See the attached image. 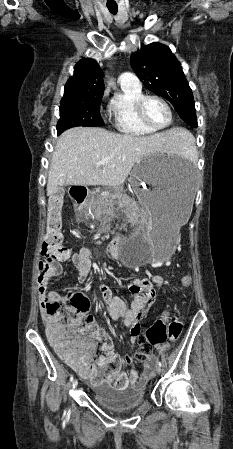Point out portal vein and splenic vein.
I'll return each mask as SVG.
<instances>
[{"mask_svg":"<svg viewBox=\"0 0 233 449\" xmlns=\"http://www.w3.org/2000/svg\"><path fill=\"white\" fill-rule=\"evenodd\" d=\"M108 162H109V158H104L103 160L100 161L101 164L108 163Z\"/></svg>","mask_w":233,"mask_h":449,"instance_id":"obj_1","label":"portal vein and splenic vein"}]
</instances>
